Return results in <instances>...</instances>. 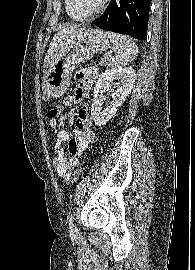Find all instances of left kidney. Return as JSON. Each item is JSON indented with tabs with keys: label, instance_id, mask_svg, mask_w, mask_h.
<instances>
[{
	"label": "left kidney",
	"instance_id": "left-kidney-1",
	"mask_svg": "<svg viewBox=\"0 0 195 270\" xmlns=\"http://www.w3.org/2000/svg\"><path fill=\"white\" fill-rule=\"evenodd\" d=\"M135 70L132 67H119L107 69L103 72L94 87L91 116L98 126L106 124L117 112L128 94L131 92L135 82ZM119 81L121 86L116 90L111 88L113 81ZM105 92H109L113 101L110 105L103 107L106 99Z\"/></svg>",
	"mask_w": 195,
	"mask_h": 270
}]
</instances>
